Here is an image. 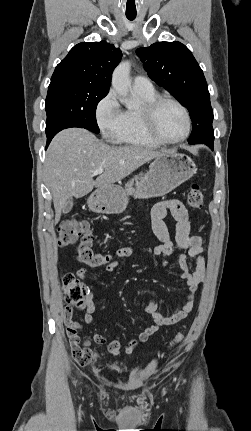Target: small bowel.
Here are the masks:
<instances>
[{
	"mask_svg": "<svg viewBox=\"0 0 251 431\" xmlns=\"http://www.w3.org/2000/svg\"><path fill=\"white\" fill-rule=\"evenodd\" d=\"M168 212H170L176 221L174 239L171 238L164 221ZM151 218L153 233L161 244L154 248H142V251L149 254L151 263L154 266L156 265V257H161V265L167 267L169 265L168 258L176 255L180 266V278L185 281L189 292L185 302L168 315H164L158 311V305L155 301H149L145 305L144 311L152 316L153 323L145 328L137 338L130 340L124 347L121 346L118 337L108 341L102 334L94 333L92 336L93 341L97 344H107L108 351L113 355H118L122 351L125 354H132L140 344L145 343L162 326L172 325L186 318L193 308L198 287L205 278V260L202 256L205 241L201 236H192L190 234L189 216L182 202L171 199L155 204L151 210ZM132 252V247H125L118 249L115 255L126 257L131 255ZM194 258L196 259L195 265L191 262ZM118 266L119 262L113 261L104 267V271L111 272ZM76 274L81 280H85L86 270L84 268L78 269ZM78 309L84 310L83 320L86 324L95 322L96 306L92 292H88L85 304ZM72 314V308H66L64 323L72 343L71 352L74 353L73 360L78 362L79 369H88L92 363V359L94 360V351L89 348L90 341L88 339L82 341L80 338L78 332L81 329V324L72 318ZM81 342L83 344L82 347H80Z\"/></svg>",
	"mask_w": 251,
	"mask_h": 431,
	"instance_id": "small-bowel-1",
	"label": "small bowel"
}]
</instances>
